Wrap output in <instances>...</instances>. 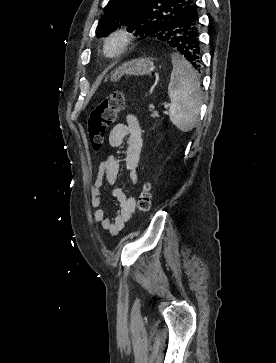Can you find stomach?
Instances as JSON below:
<instances>
[{
  "instance_id": "stomach-1",
  "label": "stomach",
  "mask_w": 276,
  "mask_h": 363,
  "mask_svg": "<svg viewBox=\"0 0 276 363\" xmlns=\"http://www.w3.org/2000/svg\"><path fill=\"white\" fill-rule=\"evenodd\" d=\"M153 70H154V65L150 60L144 58H138L128 63H125L121 67L116 69L111 76V80L117 81L124 75L127 76L150 75Z\"/></svg>"
}]
</instances>
